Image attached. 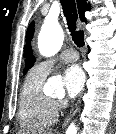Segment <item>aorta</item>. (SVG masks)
<instances>
[{
	"instance_id": "1",
	"label": "aorta",
	"mask_w": 116,
	"mask_h": 134,
	"mask_svg": "<svg viewBox=\"0 0 116 134\" xmlns=\"http://www.w3.org/2000/svg\"><path fill=\"white\" fill-rule=\"evenodd\" d=\"M64 33L56 22H45L38 36V49L40 54L49 57L55 55L62 47ZM47 88L56 93L63 92L60 79L51 77L48 79ZM78 128L73 123L69 125L66 134H77Z\"/></svg>"
}]
</instances>
